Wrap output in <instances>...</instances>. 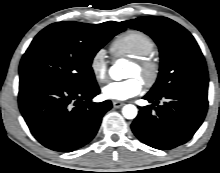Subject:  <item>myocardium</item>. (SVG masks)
Instances as JSON below:
<instances>
[{
  "label": "myocardium",
  "instance_id": "1",
  "mask_svg": "<svg viewBox=\"0 0 220 173\" xmlns=\"http://www.w3.org/2000/svg\"><path fill=\"white\" fill-rule=\"evenodd\" d=\"M139 72L140 78L147 86H152L158 79L160 65L158 60L152 55L132 59Z\"/></svg>",
  "mask_w": 220,
  "mask_h": 173
}]
</instances>
